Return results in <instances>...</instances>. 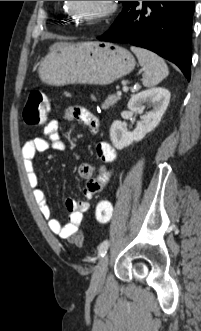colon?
I'll return each instance as SVG.
<instances>
[{"mask_svg":"<svg viewBox=\"0 0 201 331\" xmlns=\"http://www.w3.org/2000/svg\"><path fill=\"white\" fill-rule=\"evenodd\" d=\"M49 103L47 97L41 91H32L26 101L23 110V119L26 124L38 126L48 119ZM113 215V206L108 200H100L95 209L96 221L100 224H108ZM83 240L75 244L81 245Z\"/></svg>","mask_w":201,"mask_h":331,"instance_id":"colon-1","label":"colon"}]
</instances>
